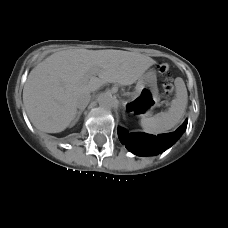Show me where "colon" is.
Instances as JSON below:
<instances>
[{"mask_svg":"<svg viewBox=\"0 0 228 228\" xmlns=\"http://www.w3.org/2000/svg\"><path fill=\"white\" fill-rule=\"evenodd\" d=\"M159 70H160V72L162 74L168 75L169 72H170V66L167 63H162L160 65ZM173 89H174V87H173L172 82H167L166 85H165V87H164V90H165L166 94L167 95H170L173 92Z\"/></svg>","mask_w":228,"mask_h":228,"instance_id":"1","label":"colon"}]
</instances>
